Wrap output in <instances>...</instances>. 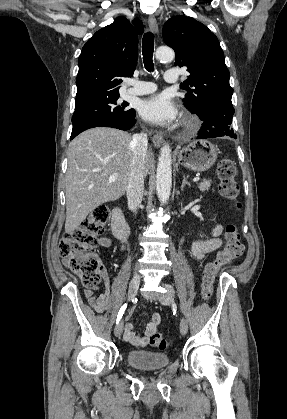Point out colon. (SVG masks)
<instances>
[{
	"label": "colon",
	"mask_w": 287,
	"mask_h": 419,
	"mask_svg": "<svg viewBox=\"0 0 287 419\" xmlns=\"http://www.w3.org/2000/svg\"><path fill=\"white\" fill-rule=\"evenodd\" d=\"M236 173L235 164L230 158L225 157L220 160L217 167L219 191L234 210L240 208L238 202L240 188ZM107 218V206L95 207L73 232L62 238L59 245L60 254L68 260L71 270L80 276L83 286L87 289H96L100 283L101 261L96 250L98 236L103 233ZM225 238V247L203 271L202 296L206 300L213 295V284L219 270L240 259L244 253V245L235 223L230 222L226 225ZM150 342L159 349H166L170 345L169 341L158 333L151 336Z\"/></svg>",
	"instance_id": "5ec220e1"
}]
</instances>
